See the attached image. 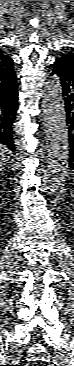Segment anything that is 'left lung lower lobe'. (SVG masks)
Listing matches in <instances>:
<instances>
[{"instance_id": "left-lung-lower-lobe-1", "label": "left lung lower lobe", "mask_w": 74, "mask_h": 366, "mask_svg": "<svg viewBox=\"0 0 74 366\" xmlns=\"http://www.w3.org/2000/svg\"><path fill=\"white\" fill-rule=\"evenodd\" d=\"M59 77L64 96L66 121L70 140V167L74 166V62L68 58H58L53 67L52 75Z\"/></svg>"}]
</instances>
